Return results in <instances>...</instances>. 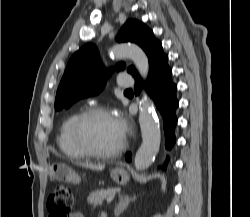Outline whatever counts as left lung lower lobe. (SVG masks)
I'll list each match as a JSON object with an SVG mask.
<instances>
[{"instance_id":"1","label":"left lung lower lobe","mask_w":250,"mask_h":217,"mask_svg":"<svg viewBox=\"0 0 250 217\" xmlns=\"http://www.w3.org/2000/svg\"><path fill=\"white\" fill-rule=\"evenodd\" d=\"M167 61L168 56L163 52L162 45L159 43L149 60V75L145 87L162 115L166 148L171 149L175 143L174 129L177 124L175 111L179 102L176 98L177 86L172 81V70L169 68ZM134 78V92L139 95L144 83L138 73ZM126 159L130 161V154L126 155Z\"/></svg>"}]
</instances>
